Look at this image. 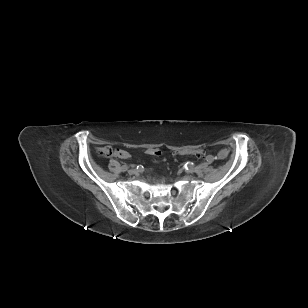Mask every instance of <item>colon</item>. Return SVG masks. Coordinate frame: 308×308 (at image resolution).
Listing matches in <instances>:
<instances>
[{
    "instance_id": "colon-1",
    "label": "colon",
    "mask_w": 308,
    "mask_h": 308,
    "mask_svg": "<svg viewBox=\"0 0 308 308\" xmlns=\"http://www.w3.org/2000/svg\"><path fill=\"white\" fill-rule=\"evenodd\" d=\"M99 153L103 156L113 155V156H115L117 158H121V159H126V158L129 157V154H128L127 151L119 149V148L113 150L111 147H104V148L99 150ZM146 153L149 154V155H153V156H157V155L160 154L159 150L154 149V148L146 149ZM181 153L200 157V156L203 155L204 152L201 149H191V150H184Z\"/></svg>"
}]
</instances>
